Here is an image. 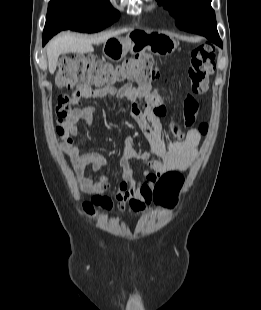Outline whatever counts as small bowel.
<instances>
[{
    "mask_svg": "<svg viewBox=\"0 0 261 310\" xmlns=\"http://www.w3.org/2000/svg\"><path fill=\"white\" fill-rule=\"evenodd\" d=\"M152 94V88L148 84L139 86L126 84L118 89L114 87L94 89L87 85H79L72 93L73 102L77 107L63 124L68 155L79 187L86 193L102 194L110 187L109 175L103 174L97 180L94 179V175L108 164L107 157L98 152L82 153L74 143V137L78 134V122L90 124L94 113L93 107L83 105L82 101L86 98L108 97L117 100L125 98L132 103V116L146 136L150 148L140 153L134 147L133 138L126 137L123 141V153L119 159L122 180L115 193L120 210L126 207L136 213L148 210L159 179L169 171L187 170L198 153L202 134L192 128L198 113L197 99L193 95H188L183 103V125L189 130L186 133L175 130L176 139L165 142L160 122V117L165 114V108L160 98L153 96L152 104L144 108L138 104L140 98L150 97ZM133 160H142L146 167L141 181L135 179V171L131 165ZM87 168H90L91 172L88 176H84V170Z\"/></svg>",
    "mask_w": 261,
    "mask_h": 310,
    "instance_id": "1",
    "label": "small bowel"
}]
</instances>
